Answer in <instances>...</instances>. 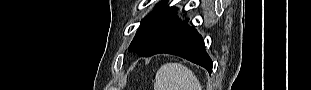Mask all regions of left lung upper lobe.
<instances>
[{
	"instance_id": "5c2ea615",
	"label": "left lung upper lobe",
	"mask_w": 311,
	"mask_h": 90,
	"mask_svg": "<svg viewBox=\"0 0 311 90\" xmlns=\"http://www.w3.org/2000/svg\"><path fill=\"white\" fill-rule=\"evenodd\" d=\"M166 1L157 5V11L141 21L128 50L139 56L148 57L154 47L181 21L176 16V8L165 7ZM162 8V10H158Z\"/></svg>"
}]
</instances>
